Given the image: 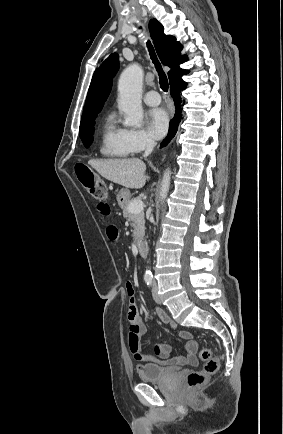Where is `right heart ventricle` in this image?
<instances>
[{
	"label": "right heart ventricle",
	"mask_w": 283,
	"mask_h": 434,
	"mask_svg": "<svg viewBox=\"0 0 283 434\" xmlns=\"http://www.w3.org/2000/svg\"><path fill=\"white\" fill-rule=\"evenodd\" d=\"M100 152L107 157H126L130 154L125 141V129L120 127L113 114L104 123Z\"/></svg>",
	"instance_id": "right-heart-ventricle-1"
}]
</instances>
